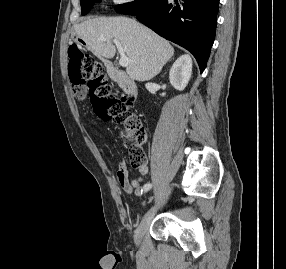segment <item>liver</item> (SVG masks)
Instances as JSON below:
<instances>
[{
	"label": "liver",
	"mask_w": 286,
	"mask_h": 269,
	"mask_svg": "<svg viewBox=\"0 0 286 269\" xmlns=\"http://www.w3.org/2000/svg\"><path fill=\"white\" fill-rule=\"evenodd\" d=\"M74 29L87 48L101 59L114 57L116 48L112 40H119L130 59L126 73L137 81H148L155 77L174 54L167 40L127 17L88 19L75 25ZM100 38H104L105 42Z\"/></svg>",
	"instance_id": "obj_1"
}]
</instances>
